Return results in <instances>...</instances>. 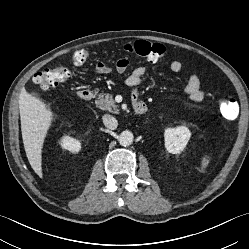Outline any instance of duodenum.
<instances>
[{
    "instance_id": "obj_1",
    "label": "duodenum",
    "mask_w": 249,
    "mask_h": 249,
    "mask_svg": "<svg viewBox=\"0 0 249 249\" xmlns=\"http://www.w3.org/2000/svg\"><path fill=\"white\" fill-rule=\"evenodd\" d=\"M93 95H94L93 91L89 88L80 89L78 92L79 98L84 100V101L91 100L93 98ZM133 108H134L136 114H138V115H143L147 111L146 104L139 99L134 100Z\"/></svg>"
}]
</instances>
